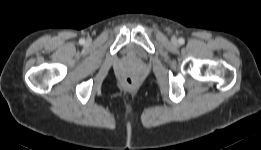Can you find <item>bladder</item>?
I'll use <instances>...</instances> for the list:
<instances>
[{"instance_id": "31cf9c89", "label": "bladder", "mask_w": 261, "mask_h": 150, "mask_svg": "<svg viewBox=\"0 0 261 150\" xmlns=\"http://www.w3.org/2000/svg\"><path fill=\"white\" fill-rule=\"evenodd\" d=\"M125 53L134 58H142L143 57V52L141 51L140 48H138L135 45H129L125 49Z\"/></svg>"}]
</instances>
